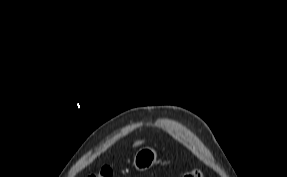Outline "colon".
Returning a JSON list of instances; mask_svg holds the SVG:
<instances>
[{
    "label": "colon",
    "instance_id": "obj_1",
    "mask_svg": "<svg viewBox=\"0 0 287 177\" xmlns=\"http://www.w3.org/2000/svg\"><path fill=\"white\" fill-rule=\"evenodd\" d=\"M112 176H113L112 169L106 167L89 174L87 177H112ZM182 177H203V173L199 169H192L187 171Z\"/></svg>",
    "mask_w": 287,
    "mask_h": 177
}]
</instances>
